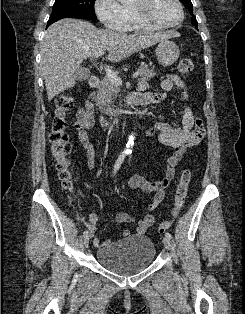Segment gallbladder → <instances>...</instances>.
Returning a JSON list of instances; mask_svg holds the SVG:
<instances>
[{
  "label": "gallbladder",
  "mask_w": 245,
  "mask_h": 314,
  "mask_svg": "<svg viewBox=\"0 0 245 314\" xmlns=\"http://www.w3.org/2000/svg\"><path fill=\"white\" fill-rule=\"evenodd\" d=\"M90 70L87 67H80L74 74V77L77 81L82 82L89 78Z\"/></svg>",
  "instance_id": "obj_1"
}]
</instances>
